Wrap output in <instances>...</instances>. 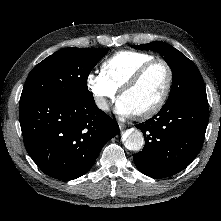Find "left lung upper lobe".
I'll return each instance as SVG.
<instances>
[{
    "label": "left lung upper lobe",
    "instance_id": "1",
    "mask_svg": "<svg viewBox=\"0 0 221 221\" xmlns=\"http://www.w3.org/2000/svg\"><path fill=\"white\" fill-rule=\"evenodd\" d=\"M133 48L153 50L165 57L172 70V87L168 100L184 97H204L206 90L203 78L196 65L173 46L155 41L132 45Z\"/></svg>",
    "mask_w": 221,
    "mask_h": 221
}]
</instances>
